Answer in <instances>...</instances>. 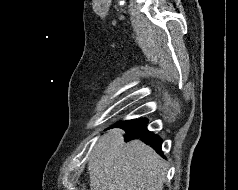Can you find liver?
Returning a JSON list of instances; mask_svg holds the SVG:
<instances>
[{
	"mask_svg": "<svg viewBox=\"0 0 238 190\" xmlns=\"http://www.w3.org/2000/svg\"><path fill=\"white\" fill-rule=\"evenodd\" d=\"M113 129L99 139L89 158L90 190H162L165 161L139 140L124 142Z\"/></svg>",
	"mask_w": 238,
	"mask_h": 190,
	"instance_id": "1",
	"label": "liver"
}]
</instances>
